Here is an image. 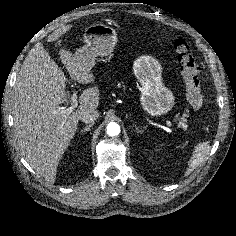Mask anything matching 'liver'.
Wrapping results in <instances>:
<instances>
[{"instance_id":"liver-1","label":"liver","mask_w":236,"mask_h":236,"mask_svg":"<svg viewBox=\"0 0 236 236\" xmlns=\"http://www.w3.org/2000/svg\"><path fill=\"white\" fill-rule=\"evenodd\" d=\"M70 27L48 36L57 40ZM62 63L72 79L81 84L94 82L91 68L60 50ZM68 103L64 72L51 59L41 43L29 51L15 83L12 115L14 135L21 154L37 174L49 183L56 179L57 166L74 137L81 114L99 105V90L88 88L79 97V108L62 114L60 105Z\"/></svg>"}]
</instances>
